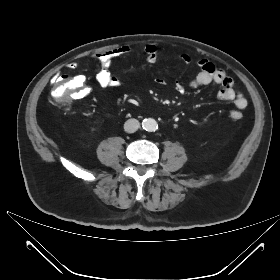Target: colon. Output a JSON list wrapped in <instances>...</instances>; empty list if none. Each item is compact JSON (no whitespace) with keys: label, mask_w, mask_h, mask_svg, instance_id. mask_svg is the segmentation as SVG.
Here are the masks:
<instances>
[{"label":"colon","mask_w":280,"mask_h":280,"mask_svg":"<svg viewBox=\"0 0 280 280\" xmlns=\"http://www.w3.org/2000/svg\"><path fill=\"white\" fill-rule=\"evenodd\" d=\"M81 77L70 75H61L53 83L50 93L51 102L58 104L59 108L66 113L72 112L76 105L78 97L83 98L88 95V86ZM239 113L234 115V119H240Z\"/></svg>","instance_id":"5ec220e1"}]
</instances>
